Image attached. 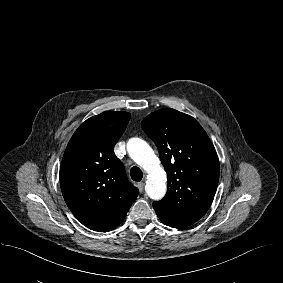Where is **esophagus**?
Returning <instances> with one entry per match:
<instances>
[{"label":"esophagus","mask_w":283,"mask_h":283,"mask_svg":"<svg viewBox=\"0 0 283 283\" xmlns=\"http://www.w3.org/2000/svg\"><path fill=\"white\" fill-rule=\"evenodd\" d=\"M144 186H145V184L143 182H139L137 184V187H138L140 193H142L144 191Z\"/></svg>","instance_id":"obj_1"}]
</instances>
